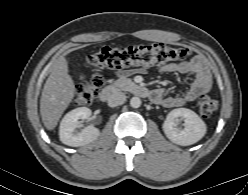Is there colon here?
Here are the masks:
<instances>
[{
    "instance_id": "1",
    "label": "colon",
    "mask_w": 248,
    "mask_h": 195,
    "mask_svg": "<svg viewBox=\"0 0 248 195\" xmlns=\"http://www.w3.org/2000/svg\"><path fill=\"white\" fill-rule=\"evenodd\" d=\"M190 54L191 50L188 48L174 47L165 43L122 48L103 47L88 56L86 67L90 70V74L77 87L75 102L79 106H88L94 101L104 83L99 74L102 69L157 66L186 59ZM198 107L200 115L209 118L216 111L218 102L214 97L203 95L199 98Z\"/></svg>"
}]
</instances>
